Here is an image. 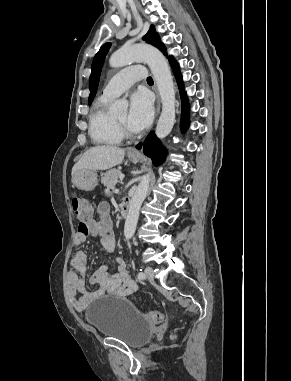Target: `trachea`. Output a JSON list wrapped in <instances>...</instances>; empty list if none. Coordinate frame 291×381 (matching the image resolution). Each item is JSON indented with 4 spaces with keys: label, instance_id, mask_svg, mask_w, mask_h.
I'll list each match as a JSON object with an SVG mask.
<instances>
[{
    "label": "trachea",
    "instance_id": "trachea-1",
    "mask_svg": "<svg viewBox=\"0 0 291 381\" xmlns=\"http://www.w3.org/2000/svg\"><path fill=\"white\" fill-rule=\"evenodd\" d=\"M147 83H149V84H153V79H152L151 77H148V78H147Z\"/></svg>",
    "mask_w": 291,
    "mask_h": 381
}]
</instances>
